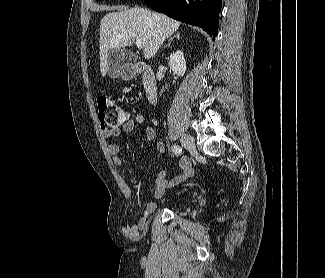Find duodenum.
<instances>
[{"instance_id":"1","label":"duodenum","mask_w":325,"mask_h":278,"mask_svg":"<svg viewBox=\"0 0 325 278\" xmlns=\"http://www.w3.org/2000/svg\"><path fill=\"white\" fill-rule=\"evenodd\" d=\"M142 88L146 100L154 104L158 99L157 81L153 70L149 66H141Z\"/></svg>"}]
</instances>
